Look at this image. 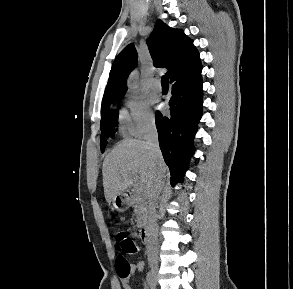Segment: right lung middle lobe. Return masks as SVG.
<instances>
[{"label": "right lung middle lobe", "mask_w": 293, "mask_h": 289, "mask_svg": "<svg viewBox=\"0 0 293 289\" xmlns=\"http://www.w3.org/2000/svg\"><path fill=\"white\" fill-rule=\"evenodd\" d=\"M123 96H118L102 103L101 107V151L103 152L107 144V137L114 136V126L118 123V114L106 112L107 108Z\"/></svg>", "instance_id": "dd1d6c3e"}]
</instances>
